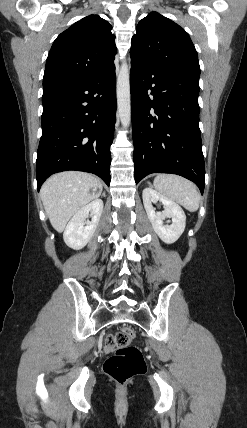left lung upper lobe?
I'll return each instance as SVG.
<instances>
[{
  "label": "left lung upper lobe",
  "instance_id": "5c2ea615",
  "mask_svg": "<svg viewBox=\"0 0 247 428\" xmlns=\"http://www.w3.org/2000/svg\"><path fill=\"white\" fill-rule=\"evenodd\" d=\"M131 59L145 62L166 77L199 88L197 51L188 33L172 20L151 12L137 25Z\"/></svg>",
  "mask_w": 247,
  "mask_h": 428
}]
</instances>
